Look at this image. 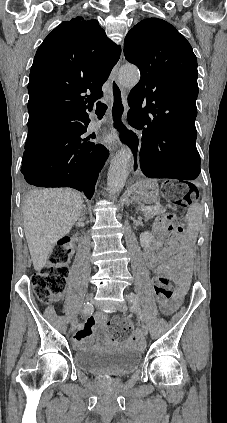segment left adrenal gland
Wrapping results in <instances>:
<instances>
[{"label":"left adrenal gland","instance_id":"1","mask_svg":"<svg viewBox=\"0 0 227 423\" xmlns=\"http://www.w3.org/2000/svg\"><path fill=\"white\" fill-rule=\"evenodd\" d=\"M139 208H137L136 213H138Z\"/></svg>","mask_w":227,"mask_h":423}]
</instances>
